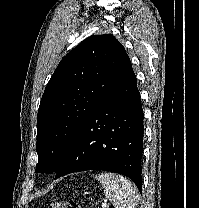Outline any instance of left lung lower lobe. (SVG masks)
Returning <instances> with one entry per match:
<instances>
[{"mask_svg": "<svg viewBox=\"0 0 199 208\" xmlns=\"http://www.w3.org/2000/svg\"><path fill=\"white\" fill-rule=\"evenodd\" d=\"M143 110L131 69L90 114L56 172L85 170L129 177L142 193Z\"/></svg>", "mask_w": 199, "mask_h": 208, "instance_id": "obj_1", "label": "left lung lower lobe"}]
</instances>
